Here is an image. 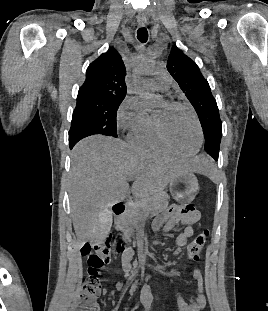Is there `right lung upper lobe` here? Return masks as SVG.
Listing matches in <instances>:
<instances>
[{
  "label": "right lung upper lobe",
  "mask_w": 268,
  "mask_h": 311,
  "mask_svg": "<svg viewBox=\"0 0 268 311\" xmlns=\"http://www.w3.org/2000/svg\"><path fill=\"white\" fill-rule=\"evenodd\" d=\"M125 65L113 47L93 61L86 71V80L79 96H100L124 99L126 96Z\"/></svg>",
  "instance_id": "obj_1"
}]
</instances>
